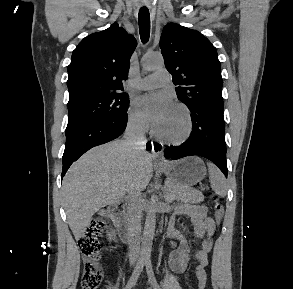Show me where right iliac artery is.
Returning a JSON list of instances; mask_svg holds the SVG:
<instances>
[{"mask_svg": "<svg viewBox=\"0 0 293 289\" xmlns=\"http://www.w3.org/2000/svg\"><path fill=\"white\" fill-rule=\"evenodd\" d=\"M144 263H145L144 258H140L138 260V263H137V265L135 267V270L132 273V276L129 279L125 289H131L135 285V283L137 282V280H138V278H139V276H140V274H141V272L143 270Z\"/></svg>", "mask_w": 293, "mask_h": 289, "instance_id": "obj_1", "label": "right iliac artery"}]
</instances>
